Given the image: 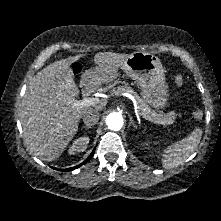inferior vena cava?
I'll return each instance as SVG.
<instances>
[{"label": "inferior vena cava", "mask_w": 221, "mask_h": 221, "mask_svg": "<svg viewBox=\"0 0 221 221\" xmlns=\"http://www.w3.org/2000/svg\"><path fill=\"white\" fill-rule=\"evenodd\" d=\"M99 120V112L96 110H90L83 115V122L86 125L92 126L96 124Z\"/></svg>", "instance_id": "inferior-vena-cava-1"}]
</instances>
